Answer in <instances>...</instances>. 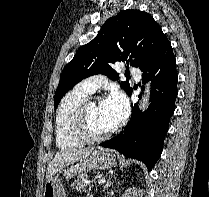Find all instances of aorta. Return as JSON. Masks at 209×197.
I'll return each instance as SVG.
<instances>
[{
  "label": "aorta",
  "mask_w": 209,
  "mask_h": 197,
  "mask_svg": "<svg viewBox=\"0 0 209 197\" xmlns=\"http://www.w3.org/2000/svg\"><path fill=\"white\" fill-rule=\"evenodd\" d=\"M149 91L146 90L144 95L142 96V100L140 102V108L145 109L149 105Z\"/></svg>",
  "instance_id": "762f6f07"
}]
</instances>
